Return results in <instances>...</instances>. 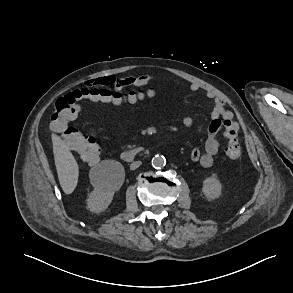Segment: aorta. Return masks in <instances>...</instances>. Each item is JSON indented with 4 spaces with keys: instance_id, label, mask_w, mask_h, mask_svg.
<instances>
[{
    "instance_id": "762f6f07",
    "label": "aorta",
    "mask_w": 293,
    "mask_h": 293,
    "mask_svg": "<svg viewBox=\"0 0 293 293\" xmlns=\"http://www.w3.org/2000/svg\"><path fill=\"white\" fill-rule=\"evenodd\" d=\"M152 166L155 168V169H161L165 166L166 164V159L164 156L162 155H155L153 158H152Z\"/></svg>"
}]
</instances>
